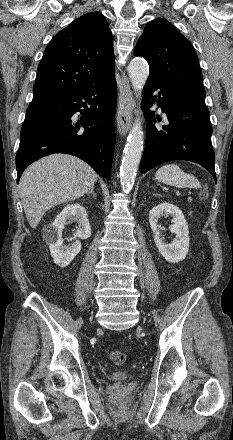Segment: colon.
I'll return each instance as SVG.
<instances>
[{
	"instance_id": "colon-1",
	"label": "colon",
	"mask_w": 233,
	"mask_h": 440,
	"mask_svg": "<svg viewBox=\"0 0 233 440\" xmlns=\"http://www.w3.org/2000/svg\"><path fill=\"white\" fill-rule=\"evenodd\" d=\"M207 197H208V192H207V190L205 189V188H202L200 191H199V198L202 200V201H205L206 199H207ZM110 358H111V360L115 363V364H117V365H123L124 363H125V361H126V354L124 353V352H122V351H118V350H115V351H111L110 352Z\"/></svg>"
}]
</instances>
